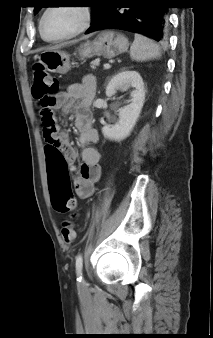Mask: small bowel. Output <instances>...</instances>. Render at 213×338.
Wrapping results in <instances>:
<instances>
[{"instance_id":"c3829d8e","label":"small bowel","mask_w":213,"mask_h":338,"mask_svg":"<svg viewBox=\"0 0 213 338\" xmlns=\"http://www.w3.org/2000/svg\"><path fill=\"white\" fill-rule=\"evenodd\" d=\"M96 83L93 76L84 77L81 83L71 84L66 91L56 94L55 108L69 111L76 104H80L82 112L75 118V126L79 131V142L82 145V165L79 170L80 177L76 181V194L81 199L89 198L95 191L94 184L100 179L102 169L100 153L88 145L98 141V132L92 125L88 106L95 96ZM52 137L55 142L48 143L45 148L50 191L56 185H62L69 174H76L77 168L74 160L77 150L73 147L66 133L59 132L58 128Z\"/></svg>"}]
</instances>
